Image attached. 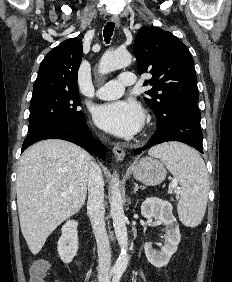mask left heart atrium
I'll return each instance as SVG.
<instances>
[{
    "label": "left heart atrium",
    "instance_id": "obj_1",
    "mask_svg": "<svg viewBox=\"0 0 232 282\" xmlns=\"http://www.w3.org/2000/svg\"><path fill=\"white\" fill-rule=\"evenodd\" d=\"M94 119L103 130L117 136L126 137L141 129L144 114L136 102L118 100L96 107Z\"/></svg>",
    "mask_w": 232,
    "mask_h": 282
}]
</instances>
